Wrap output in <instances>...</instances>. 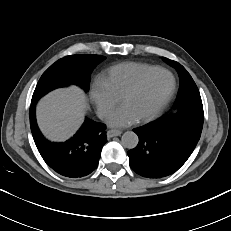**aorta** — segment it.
Instances as JSON below:
<instances>
[{
	"instance_id": "aorta-1",
	"label": "aorta",
	"mask_w": 231,
	"mask_h": 231,
	"mask_svg": "<svg viewBox=\"0 0 231 231\" xmlns=\"http://www.w3.org/2000/svg\"><path fill=\"white\" fill-rule=\"evenodd\" d=\"M122 145L128 149H133L138 145V135L132 131H127L122 135Z\"/></svg>"
}]
</instances>
